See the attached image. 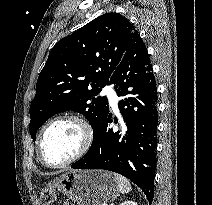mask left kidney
<instances>
[{
    "label": "left kidney",
    "mask_w": 212,
    "mask_h": 205,
    "mask_svg": "<svg viewBox=\"0 0 212 205\" xmlns=\"http://www.w3.org/2000/svg\"><path fill=\"white\" fill-rule=\"evenodd\" d=\"M119 205H137L134 201H131V200H127L125 202H122L121 204Z\"/></svg>",
    "instance_id": "obj_1"
}]
</instances>
